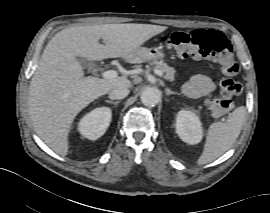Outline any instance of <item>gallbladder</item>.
Segmentation results:
<instances>
[{
  "instance_id": "obj_1",
  "label": "gallbladder",
  "mask_w": 270,
  "mask_h": 213,
  "mask_svg": "<svg viewBox=\"0 0 270 213\" xmlns=\"http://www.w3.org/2000/svg\"><path fill=\"white\" fill-rule=\"evenodd\" d=\"M77 60L81 63V65L84 67V68H90V67H95L96 64L94 62H91L87 59H84V58H80L78 57Z\"/></svg>"
}]
</instances>
